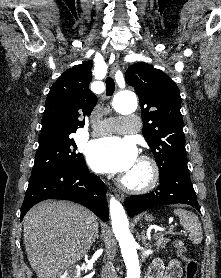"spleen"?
Returning <instances> with one entry per match:
<instances>
[{
    "instance_id": "3e777b00",
    "label": "spleen",
    "mask_w": 221,
    "mask_h": 278,
    "mask_svg": "<svg viewBox=\"0 0 221 278\" xmlns=\"http://www.w3.org/2000/svg\"><path fill=\"white\" fill-rule=\"evenodd\" d=\"M174 214L179 217L180 224L189 233V239L193 244H200L203 239L201 223L198 217L185 209H175Z\"/></svg>"
}]
</instances>
